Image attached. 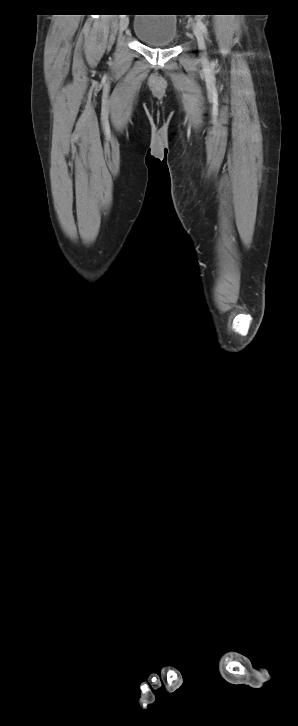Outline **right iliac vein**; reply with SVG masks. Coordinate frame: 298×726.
Segmentation results:
<instances>
[{
  "instance_id": "right-iliac-vein-1",
  "label": "right iliac vein",
  "mask_w": 298,
  "mask_h": 726,
  "mask_svg": "<svg viewBox=\"0 0 298 726\" xmlns=\"http://www.w3.org/2000/svg\"><path fill=\"white\" fill-rule=\"evenodd\" d=\"M129 19L127 17H122L119 23V32L122 33L125 31L128 27Z\"/></svg>"
}]
</instances>
